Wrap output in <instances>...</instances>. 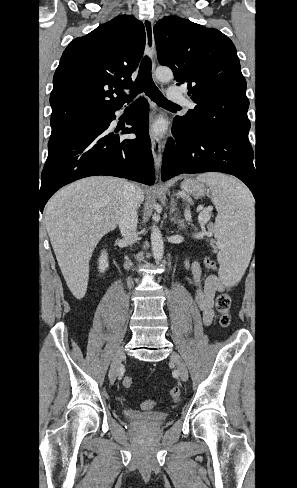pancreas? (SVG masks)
<instances>
[{"instance_id": "cf45deb5", "label": "pancreas", "mask_w": 297, "mask_h": 488, "mask_svg": "<svg viewBox=\"0 0 297 488\" xmlns=\"http://www.w3.org/2000/svg\"><path fill=\"white\" fill-rule=\"evenodd\" d=\"M205 220L202 221V226H204Z\"/></svg>"}]
</instances>
